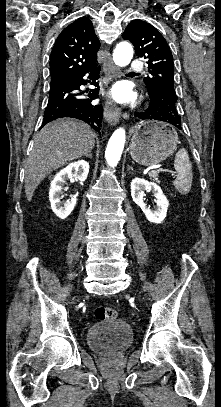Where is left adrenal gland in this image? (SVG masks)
<instances>
[{
    "label": "left adrenal gland",
    "instance_id": "1",
    "mask_svg": "<svg viewBox=\"0 0 221 407\" xmlns=\"http://www.w3.org/2000/svg\"><path fill=\"white\" fill-rule=\"evenodd\" d=\"M129 170H133V167L127 165V171H129Z\"/></svg>",
    "mask_w": 221,
    "mask_h": 407
}]
</instances>
